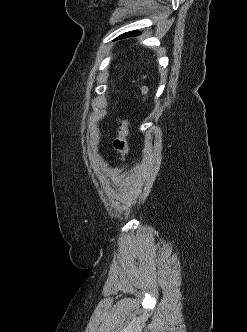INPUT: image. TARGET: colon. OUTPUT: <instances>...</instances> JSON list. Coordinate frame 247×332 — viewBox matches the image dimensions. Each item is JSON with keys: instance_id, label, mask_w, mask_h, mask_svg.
I'll return each mask as SVG.
<instances>
[{"instance_id": "1", "label": "colon", "mask_w": 247, "mask_h": 332, "mask_svg": "<svg viewBox=\"0 0 247 332\" xmlns=\"http://www.w3.org/2000/svg\"><path fill=\"white\" fill-rule=\"evenodd\" d=\"M148 89L146 86L140 87V98L143 99L147 94ZM129 122L128 120H122L120 125L117 128V136L113 140V148L120 156L121 159H124L128 153V143L127 137L129 136Z\"/></svg>"}]
</instances>
